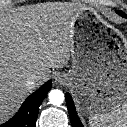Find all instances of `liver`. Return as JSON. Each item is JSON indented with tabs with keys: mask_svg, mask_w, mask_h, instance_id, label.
<instances>
[{
	"mask_svg": "<svg viewBox=\"0 0 127 127\" xmlns=\"http://www.w3.org/2000/svg\"><path fill=\"white\" fill-rule=\"evenodd\" d=\"M83 6L52 3L22 6L0 15V122L8 119L33 89L64 67L74 49V22ZM39 76L32 89L30 77Z\"/></svg>",
	"mask_w": 127,
	"mask_h": 127,
	"instance_id": "obj_1",
	"label": "liver"
}]
</instances>
